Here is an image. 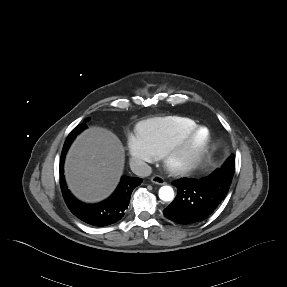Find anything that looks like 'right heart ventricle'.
<instances>
[{"label": "right heart ventricle", "instance_id": "right-heart-ventricle-1", "mask_svg": "<svg viewBox=\"0 0 287 287\" xmlns=\"http://www.w3.org/2000/svg\"><path fill=\"white\" fill-rule=\"evenodd\" d=\"M195 127V121L188 117L157 116L142 121L138 132L148 139L157 156H163L176 141Z\"/></svg>", "mask_w": 287, "mask_h": 287}]
</instances>
